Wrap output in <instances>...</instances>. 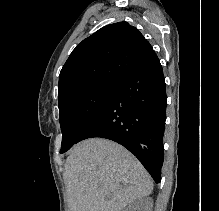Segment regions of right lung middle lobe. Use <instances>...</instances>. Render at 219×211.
<instances>
[{
	"label": "right lung middle lobe",
	"mask_w": 219,
	"mask_h": 211,
	"mask_svg": "<svg viewBox=\"0 0 219 211\" xmlns=\"http://www.w3.org/2000/svg\"><path fill=\"white\" fill-rule=\"evenodd\" d=\"M117 85L99 84L59 102V122L62 131L60 153L68 151L80 133L102 109Z\"/></svg>",
	"instance_id": "1"
}]
</instances>
